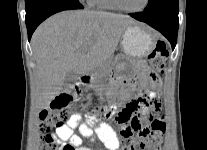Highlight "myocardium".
<instances>
[{
  "label": "myocardium",
  "instance_id": "1",
  "mask_svg": "<svg viewBox=\"0 0 207 150\" xmlns=\"http://www.w3.org/2000/svg\"><path fill=\"white\" fill-rule=\"evenodd\" d=\"M111 1H112V3L115 5V7H116L117 9H119V10H121V11H123V12H126V13H130V14H137V13H141V12H143V11L147 8V6H148V4H149V0H145V1H144V4L142 5V7L138 8V9L131 10V9H127V8H125V7L121 4L120 0H111Z\"/></svg>",
  "mask_w": 207,
  "mask_h": 150
}]
</instances>
